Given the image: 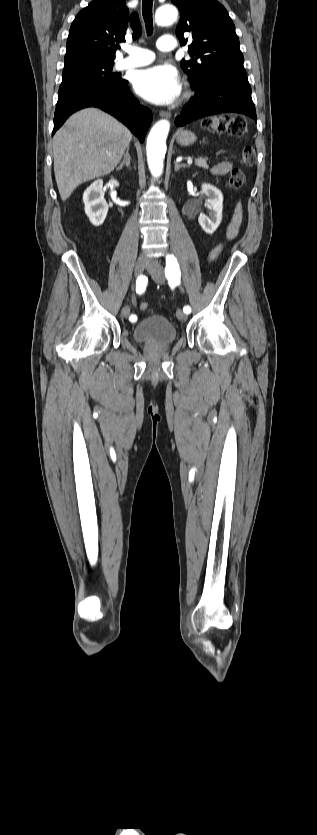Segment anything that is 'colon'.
I'll return each mask as SVG.
<instances>
[{"label": "colon", "instance_id": "1", "mask_svg": "<svg viewBox=\"0 0 317 835\" xmlns=\"http://www.w3.org/2000/svg\"><path fill=\"white\" fill-rule=\"evenodd\" d=\"M203 127L211 133H226L234 138L244 137L247 133L246 121L241 116L210 117L203 121ZM255 160L256 152L254 148L251 146L245 147L241 156L242 164L250 167L254 164ZM244 181L245 175L243 171L239 168L233 169L229 178L230 187L233 189H239L244 184ZM139 308L142 311H151L149 304L146 302H141L139 304Z\"/></svg>", "mask_w": 317, "mask_h": 835}]
</instances>
